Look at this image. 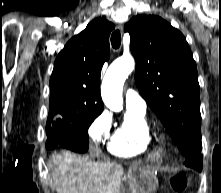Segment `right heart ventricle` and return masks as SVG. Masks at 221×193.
<instances>
[{
  "mask_svg": "<svg viewBox=\"0 0 221 193\" xmlns=\"http://www.w3.org/2000/svg\"><path fill=\"white\" fill-rule=\"evenodd\" d=\"M152 141L145 111L137 112L128 109L124 120L110 137L107 149L117 157H137L145 153Z\"/></svg>",
  "mask_w": 221,
  "mask_h": 193,
  "instance_id": "1",
  "label": "right heart ventricle"
}]
</instances>
